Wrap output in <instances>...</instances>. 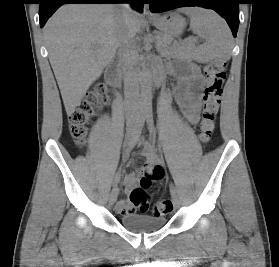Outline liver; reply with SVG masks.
<instances>
[{
    "label": "liver",
    "instance_id": "1",
    "mask_svg": "<svg viewBox=\"0 0 279 267\" xmlns=\"http://www.w3.org/2000/svg\"><path fill=\"white\" fill-rule=\"evenodd\" d=\"M120 19L119 5L68 4L46 23L49 61L68 116L114 58ZM131 21L138 32L141 17L134 13Z\"/></svg>",
    "mask_w": 279,
    "mask_h": 267
}]
</instances>
